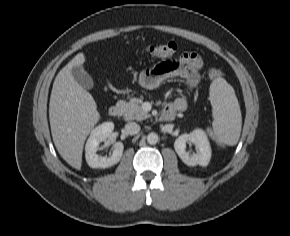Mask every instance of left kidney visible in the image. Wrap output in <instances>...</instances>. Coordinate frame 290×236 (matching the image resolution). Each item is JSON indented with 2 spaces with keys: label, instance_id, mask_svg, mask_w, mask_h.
<instances>
[{
  "label": "left kidney",
  "instance_id": "left-kidney-1",
  "mask_svg": "<svg viewBox=\"0 0 290 236\" xmlns=\"http://www.w3.org/2000/svg\"><path fill=\"white\" fill-rule=\"evenodd\" d=\"M187 143H193L197 152L189 155L186 151ZM174 148L180 159L188 166H207L211 158L210 142L202 129L180 135L174 142Z\"/></svg>",
  "mask_w": 290,
  "mask_h": 236
}]
</instances>
